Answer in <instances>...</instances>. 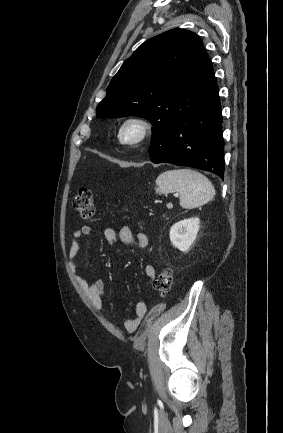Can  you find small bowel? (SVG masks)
<instances>
[{
  "instance_id": "c3829d8e",
  "label": "small bowel",
  "mask_w": 283,
  "mask_h": 433,
  "mask_svg": "<svg viewBox=\"0 0 283 433\" xmlns=\"http://www.w3.org/2000/svg\"><path fill=\"white\" fill-rule=\"evenodd\" d=\"M93 230L91 224H85L79 229L75 230L71 237V243L69 248V260L71 268L75 275V280L83 292L90 298L96 309L101 310L103 307V297L105 292V284L102 280L95 282H89L78 274V267L76 263V257L80 249V241L84 236L89 235ZM104 238L110 246H117L120 242L134 246L139 249H144L148 246L149 240L145 233L139 232L134 236L130 226H123L119 232H116L112 228L105 229ZM155 268L153 265L148 264L145 266V274L153 278L155 276ZM147 311V305L144 302H139L135 307V316L126 319L124 326L127 331L134 332L142 318Z\"/></svg>"
}]
</instances>
